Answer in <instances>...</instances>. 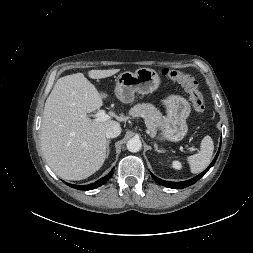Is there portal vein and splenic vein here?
Returning a JSON list of instances; mask_svg holds the SVG:
<instances>
[{
  "mask_svg": "<svg viewBox=\"0 0 253 253\" xmlns=\"http://www.w3.org/2000/svg\"><path fill=\"white\" fill-rule=\"evenodd\" d=\"M92 117H95L96 121L103 122L110 119V116L106 113L105 110H99L96 114H92Z\"/></svg>",
  "mask_w": 253,
  "mask_h": 253,
  "instance_id": "obj_1",
  "label": "portal vein and splenic vein"
}]
</instances>
